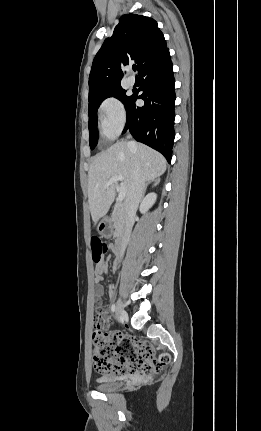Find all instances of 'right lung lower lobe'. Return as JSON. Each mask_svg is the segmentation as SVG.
<instances>
[{"label": "right lung lower lobe", "mask_w": 261, "mask_h": 431, "mask_svg": "<svg viewBox=\"0 0 261 431\" xmlns=\"http://www.w3.org/2000/svg\"><path fill=\"white\" fill-rule=\"evenodd\" d=\"M142 79L139 91H133L125 104L127 122L124 128L133 137L159 151L171 162L174 143V74L169 49L148 62L138 72ZM137 99H143V107H136Z\"/></svg>", "instance_id": "right-lung-lower-lobe-1"}]
</instances>
